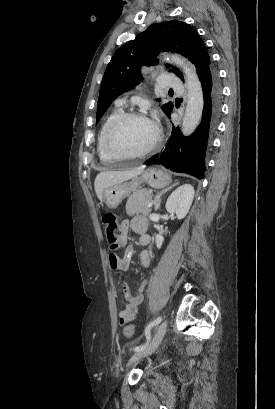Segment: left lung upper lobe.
Here are the masks:
<instances>
[{
	"mask_svg": "<svg viewBox=\"0 0 275 409\" xmlns=\"http://www.w3.org/2000/svg\"><path fill=\"white\" fill-rule=\"evenodd\" d=\"M165 51L177 52L188 58L196 67L198 75L210 64L205 44L191 26L180 21L150 25L134 40L120 47L111 58L101 82L97 121L116 97L134 88L143 80L140 73L141 66L157 64L156 55ZM170 71L183 80L178 68ZM172 108V102L162 106V110L167 115Z\"/></svg>",
	"mask_w": 275,
	"mask_h": 409,
	"instance_id": "left-lung-upper-lobe-1",
	"label": "left lung upper lobe"
}]
</instances>
